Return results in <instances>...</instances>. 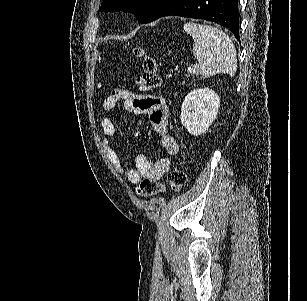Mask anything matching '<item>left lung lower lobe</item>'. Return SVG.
Masks as SVG:
<instances>
[{"label":"left lung lower lobe","instance_id":"0a47b994","mask_svg":"<svg viewBox=\"0 0 307 301\" xmlns=\"http://www.w3.org/2000/svg\"><path fill=\"white\" fill-rule=\"evenodd\" d=\"M238 0H175L160 15L205 19L228 28L240 41ZM157 18V19H158Z\"/></svg>","mask_w":307,"mask_h":301}]
</instances>
